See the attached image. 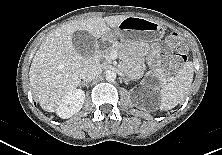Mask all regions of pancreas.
<instances>
[{"label":"pancreas","instance_id":"cf45deb5","mask_svg":"<svg viewBox=\"0 0 222 155\" xmlns=\"http://www.w3.org/2000/svg\"><path fill=\"white\" fill-rule=\"evenodd\" d=\"M113 51H117L123 56V59L127 64L126 73L129 77L134 78L135 76H137L139 73H141L145 69V66L142 65L140 62H138L135 59V57L132 53V50L122 49V45L119 43H115L114 45L101 51L99 53V57L103 58L105 60V63H111L112 60H111L110 55ZM154 75L160 79H162L166 76L161 68L155 69Z\"/></svg>","mask_w":222,"mask_h":155}]
</instances>
